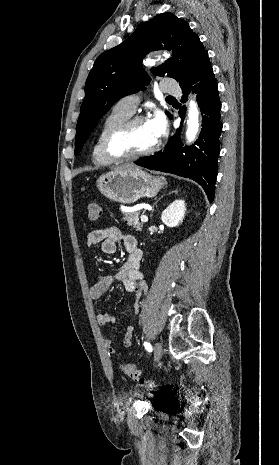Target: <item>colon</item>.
I'll list each match as a JSON object with an SVG mask.
<instances>
[{
    "label": "colon",
    "instance_id": "1",
    "mask_svg": "<svg viewBox=\"0 0 279 465\" xmlns=\"http://www.w3.org/2000/svg\"><path fill=\"white\" fill-rule=\"evenodd\" d=\"M100 215H101L100 205L95 202L90 203L88 205V216L90 220L95 221L99 219ZM122 370L127 377H129L130 379L134 381H138L140 383H145V384L150 383L149 380H146L141 376V372L136 368V366L133 363L125 362L122 365Z\"/></svg>",
    "mask_w": 279,
    "mask_h": 465
}]
</instances>
